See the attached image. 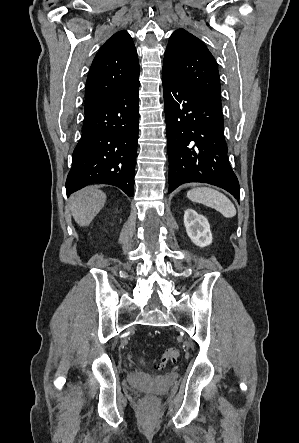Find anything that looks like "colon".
Returning a JSON list of instances; mask_svg holds the SVG:
<instances>
[{
    "mask_svg": "<svg viewBox=\"0 0 299 443\" xmlns=\"http://www.w3.org/2000/svg\"><path fill=\"white\" fill-rule=\"evenodd\" d=\"M180 356V351L178 348H169L166 350V352L163 354V356L155 363V367L158 369L163 368L168 361H174ZM145 402L154 405L156 404L157 400L155 396L147 395L145 397Z\"/></svg>",
    "mask_w": 299,
    "mask_h": 443,
    "instance_id": "5ec220e1",
    "label": "colon"
}]
</instances>
